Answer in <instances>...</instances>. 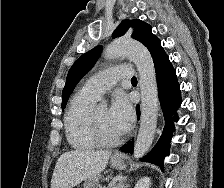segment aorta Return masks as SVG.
I'll return each mask as SVG.
<instances>
[{"instance_id": "1", "label": "aorta", "mask_w": 224, "mask_h": 188, "mask_svg": "<svg viewBox=\"0 0 224 188\" xmlns=\"http://www.w3.org/2000/svg\"><path fill=\"white\" fill-rule=\"evenodd\" d=\"M105 59L128 57L137 67L141 91V123L134 146V157L141 158L150 148L157 125L158 89L153 59L141 43L119 38L104 50Z\"/></svg>"}]
</instances>
